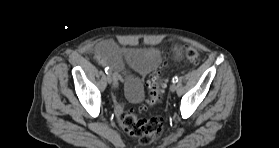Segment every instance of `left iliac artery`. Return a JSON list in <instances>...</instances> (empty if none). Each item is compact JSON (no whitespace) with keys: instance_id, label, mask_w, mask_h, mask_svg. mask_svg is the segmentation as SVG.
Segmentation results:
<instances>
[{"instance_id":"44dca946","label":"left iliac artery","mask_w":279,"mask_h":148,"mask_svg":"<svg viewBox=\"0 0 279 148\" xmlns=\"http://www.w3.org/2000/svg\"><path fill=\"white\" fill-rule=\"evenodd\" d=\"M172 82L177 83L178 82V77L177 76L173 77Z\"/></svg>"}]
</instances>
